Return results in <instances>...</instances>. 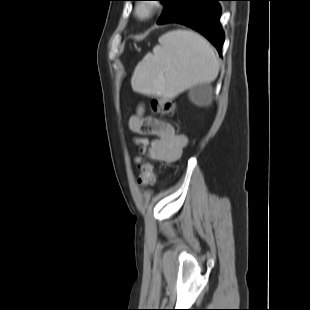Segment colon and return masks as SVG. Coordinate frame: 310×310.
<instances>
[{
    "label": "colon",
    "instance_id": "colon-1",
    "mask_svg": "<svg viewBox=\"0 0 310 310\" xmlns=\"http://www.w3.org/2000/svg\"><path fill=\"white\" fill-rule=\"evenodd\" d=\"M174 102L169 100V99H164V98H158V99H153L151 101V110L155 114L159 115H172L174 112ZM155 180V169L153 164L145 160L141 164V170L140 174L138 177V183L141 186L147 187L153 184Z\"/></svg>",
    "mask_w": 310,
    "mask_h": 310
}]
</instances>
